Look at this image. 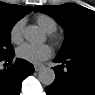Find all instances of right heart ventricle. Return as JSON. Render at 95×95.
I'll return each mask as SVG.
<instances>
[{
    "mask_svg": "<svg viewBox=\"0 0 95 95\" xmlns=\"http://www.w3.org/2000/svg\"><path fill=\"white\" fill-rule=\"evenodd\" d=\"M38 26L48 34L57 30V22L54 18L46 14H40L36 17Z\"/></svg>",
    "mask_w": 95,
    "mask_h": 95,
    "instance_id": "right-heart-ventricle-1",
    "label": "right heart ventricle"
}]
</instances>
